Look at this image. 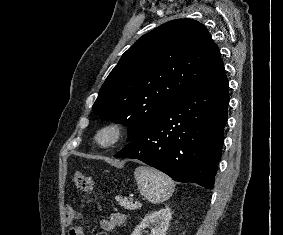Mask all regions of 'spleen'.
<instances>
[{"mask_svg": "<svg viewBox=\"0 0 283 235\" xmlns=\"http://www.w3.org/2000/svg\"><path fill=\"white\" fill-rule=\"evenodd\" d=\"M138 189L152 204H161L174 192L175 182L166 174L150 167L139 166L134 171Z\"/></svg>", "mask_w": 283, "mask_h": 235, "instance_id": "1", "label": "spleen"}]
</instances>
